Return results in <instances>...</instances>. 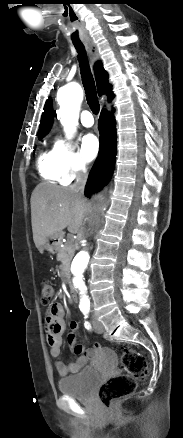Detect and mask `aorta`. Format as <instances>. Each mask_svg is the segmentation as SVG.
Masks as SVG:
<instances>
[{
    "label": "aorta",
    "mask_w": 183,
    "mask_h": 438,
    "mask_svg": "<svg viewBox=\"0 0 183 438\" xmlns=\"http://www.w3.org/2000/svg\"><path fill=\"white\" fill-rule=\"evenodd\" d=\"M82 100L83 90L81 86L75 82L62 86L57 92V101L60 105V122L69 138L76 131ZM89 263V253L86 251H80L75 256L71 266L72 286L79 293L81 306L89 304L87 285L84 278V273L86 272Z\"/></svg>",
    "instance_id": "762f6f07"
}]
</instances>
